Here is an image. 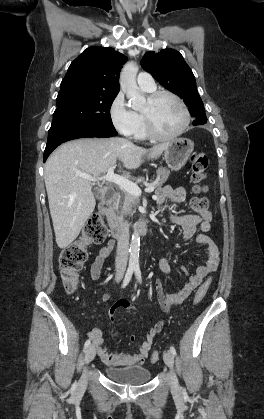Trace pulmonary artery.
<instances>
[{
	"label": "pulmonary artery",
	"mask_w": 264,
	"mask_h": 419,
	"mask_svg": "<svg viewBox=\"0 0 264 419\" xmlns=\"http://www.w3.org/2000/svg\"><path fill=\"white\" fill-rule=\"evenodd\" d=\"M137 83L141 89L152 90L155 88V82L153 77L147 72L139 73L137 77Z\"/></svg>",
	"instance_id": "e3ab8cb5"
}]
</instances>
